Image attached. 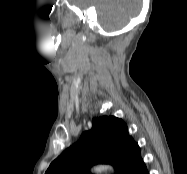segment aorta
Instances as JSON below:
<instances>
[{
    "label": "aorta",
    "instance_id": "762f6f07",
    "mask_svg": "<svg viewBox=\"0 0 187 174\" xmlns=\"http://www.w3.org/2000/svg\"><path fill=\"white\" fill-rule=\"evenodd\" d=\"M104 170H110L112 171L113 168L111 166H108V165H105V166H98V167H95L94 168V171L95 172H101V171H104Z\"/></svg>",
    "mask_w": 187,
    "mask_h": 174
}]
</instances>
